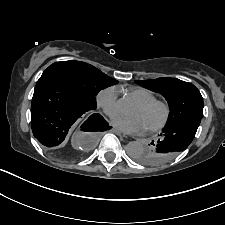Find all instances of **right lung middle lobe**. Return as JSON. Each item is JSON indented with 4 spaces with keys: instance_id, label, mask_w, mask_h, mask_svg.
Segmentation results:
<instances>
[{
    "instance_id": "obj_1",
    "label": "right lung middle lobe",
    "mask_w": 225,
    "mask_h": 225,
    "mask_svg": "<svg viewBox=\"0 0 225 225\" xmlns=\"http://www.w3.org/2000/svg\"><path fill=\"white\" fill-rule=\"evenodd\" d=\"M40 78L60 81L92 109L96 108V95L102 89L118 83L94 66L80 61H61L50 65Z\"/></svg>"
}]
</instances>
